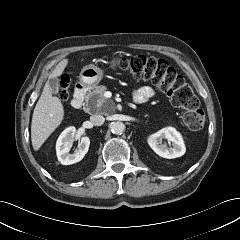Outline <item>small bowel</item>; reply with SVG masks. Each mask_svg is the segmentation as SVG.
<instances>
[{
  "instance_id": "small-bowel-1",
  "label": "small bowel",
  "mask_w": 240,
  "mask_h": 240,
  "mask_svg": "<svg viewBox=\"0 0 240 240\" xmlns=\"http://www.w3.org/2000/svg\"><path fill=\"white\" fill-rule=\"evenodd\" d=\"M154 95V90L149 86H143L134 92V100L136 103H145Z\"/></svg>"
}]
</instances>
